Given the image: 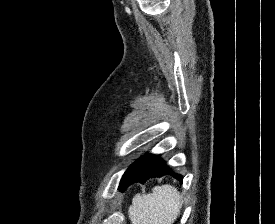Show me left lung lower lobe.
Listing matches in <instances>:
<instances>
[{"label": "left lung lower lobe", "instance_id": "obj_1", "mask_svg": "<svg viewBox=\"0 0 275 224\" xmlns=\"http://www.w3.org/2000/svg\"><path fill=\"white\" fill-rule=\"evenodd\" d=\"M169 174L182 182V176L175 174L165 162L157 155L146 154L136 160L123 175L119 189L125 191L131 184L139 182L144 184L149 178L161 177Z\"/></svg>", "mask_w": 275, "mask_h": 224}]
</instances>
